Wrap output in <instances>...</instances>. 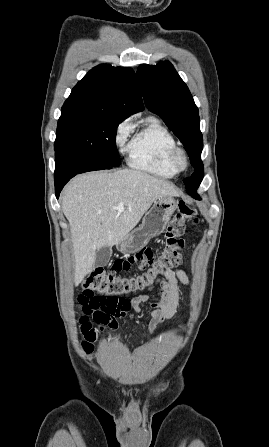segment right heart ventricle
<instances>
[{"label": "right heart ventricle", "instance_id": "e07e8e85", "mask_svg": "<svg viewBox=\"0 0 269 447\" xmlns=\"http://www.w3.org/2000/svg\"><path fill=\"white\" fill-rule=\"evenodd\" d=\"M176 146L170 130L149 116L128 146V164L160 177L172 178L178 172L171 163Z\"/></svg>", "mask_w": 269, "mask_h": 447}]
</instances>
